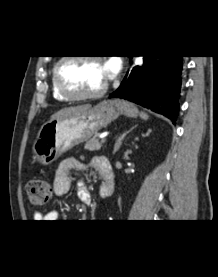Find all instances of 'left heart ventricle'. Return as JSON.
Segmentation results:
<instances>
[{"label": "left heart ventricle", "mask_w": 218, "mask_h": 277, "mask_svg": "<svg viewBox=\"0 0 218 277\" xmlns=\"http://www.w3.org/2000/svg\"><path fill=\"white\" fill-rule=\"evenodd\" d=\"M60 73L65 86L75 93H87L101 88L108 75L102 62L68 60L62 63Z\"/></svg>", "instance_id": "obj_1"}]
</instances>
